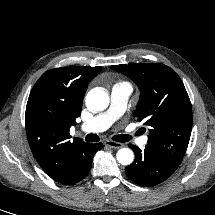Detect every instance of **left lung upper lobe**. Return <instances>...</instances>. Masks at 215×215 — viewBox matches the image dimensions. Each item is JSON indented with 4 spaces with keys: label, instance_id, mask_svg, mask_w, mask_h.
Returning <instances> with one entry per match:
<instances>
[{
    "label": "left lung upper lobe",
    "instance_id": "left-lung-upper-lobe-1",
    "mask_svg": "<svg viewBox=\"0 0 215 215\" xmlns=\"http://www.w3.org/2000/svg\"><path fill=\"white\" fill-rule=\"evenodd\" d=\"M130 77L141 94L134 118L150 127L148 145L180 163L192 129V106L178 74L164 64L113 65Z\"/></svg>",
    "mask_w": 215,
    "mask_h": 215
}]
</instances>
